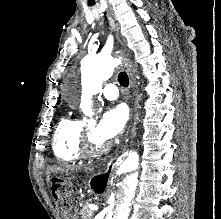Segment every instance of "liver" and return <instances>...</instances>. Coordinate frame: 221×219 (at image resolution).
I'll list each match as a JSON object with an SVG mask.
<instances>
[{
	"label": "liver",
	"mask_w": 221,
	"mask_h": 219,
	"mask_svg": "<svg viewBox=\"0 0 221 219\" xmlns=\"http://www.w3.org/2000/svg\"><path fill=\"white\" fill-rule=\"evenodd\" d=\"M77 166L65 165V166H52L47 169V181L50 180V173L57 172H67L69 170H74Z\"/></svg>",
	"instance_id": "1"
}]
</instances>
